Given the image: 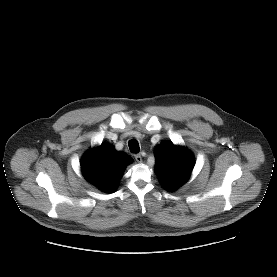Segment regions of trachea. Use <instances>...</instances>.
<instances>
[{
	"label": "trachea",
	"instance_id": "obj_1",
	"mask_svg": "<svg viewBox=\"0 0 277 277\" xmlns=\"http://www.w3.org/2000/svg\"><path fill=\"white\" fill-rule=\"evenodd\" d=\"M128 145L132 153H138L140 151L139 144L135 139L130 140Z\"/></svg>",
	"mask_w": 277,
	"mask_h": 277
}]
</instances>
